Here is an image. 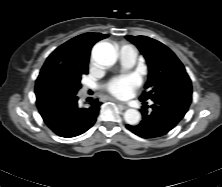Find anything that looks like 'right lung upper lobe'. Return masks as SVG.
<instances>
[{
	"label": "right lung upper lobe",
	"instance_id": "1",
	"mask_svg": "<svg viewBox=\"0 0 222 187\" xmlns=\"http://www.w3.org/2000/svg\"><path fill=\"white\" fill-rule=\"evenodd\" d=\"M108 35L101 33H85L72 38L55 49L47 58L43 69L58 68V64H72L79 68L88 69L92 46Z\"/></svg>",
	"mask_w": 222,
	"mask_h": 187
}]
</instances>
